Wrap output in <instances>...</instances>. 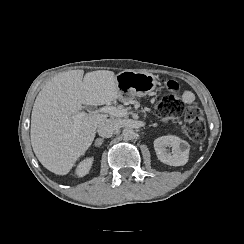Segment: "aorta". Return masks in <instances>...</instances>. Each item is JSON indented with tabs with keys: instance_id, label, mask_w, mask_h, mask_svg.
Here are the masks:
<instances>
[{
	"instance_id": "1",
	"label": "aorta",
	"mask_w": 244,
	"mask_h": 244,
	"mask_svg": "<svg viewBox=\"0 0 244 244\" xmlns=\"http://www.w3.org/2000/svg\"><path fill=\"white\" fill-rule=\"evenodd\" d=\"M122 135L125 139L131 140L135 137V131L131 128H125L123 129Z\"/></svg>"
}]
</instances>
